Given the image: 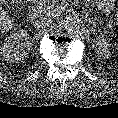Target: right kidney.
I'll return each mask as SVG.
<instances>
[{
  "instance_id": "1",
  "label": "right kidney",
  "mask_w": 118,
  "mask_h": 118,
  "mask_svg": "<svg viewBox=\"0 0 118 118\" xmlns=\"http://www.w3.org/2000/svg\"><path fill=\"white\" fill-rule=\"evenodd\" d=\"M33 48L31 38L25 32H16L4 40L0 49L3 59L19 62L26 58Z\"/></svg>"
}]
</instances>
